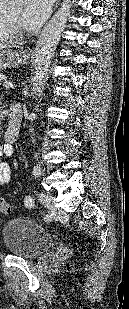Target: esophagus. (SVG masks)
I'll list each match as a JSON object with an SVG mask.
<instances>
[{"label":"esophagus","mask_w":129,"mask_h":309,"mask_svg":"<svg viewBox=\"0 0 129 309\" xmlns=\"http://www.w3.org/2000/svg\"><path fill=\"white\" fill-rule=\"evenodd\" d=\"M60 0H57L56 4H55V8L58 7Z\"/></svg>","instance_id":"esophagus-1"}]
</instances>
